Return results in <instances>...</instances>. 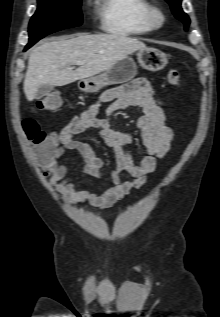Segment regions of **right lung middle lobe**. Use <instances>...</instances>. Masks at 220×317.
Listing matches in <instances>:
<instances>
[{"mask_svg": "<svg viewBox=\"0 0 220 317\" xmlns=\"http://www.w3.org/2000/svg\"><path fill=\"white\" fill-rule=\"evenodd\" d=\"M81 0H38L29 24V43L53 32L82 24Z\"/></svg>", "mask_w": 220, "mask_h": 317, "instance_id": "dd1d6c3e", "label": "right lung middle lobe"}]
</instances>
